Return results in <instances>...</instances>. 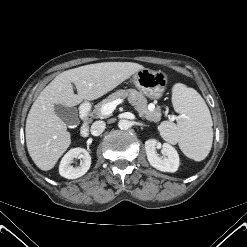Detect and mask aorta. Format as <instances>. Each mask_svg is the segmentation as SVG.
<instances>
[{"label":"aorta","instance_id":"1","mask_svg":"<svg viewBox=\"0 0 247 247\" xmlns=\"http://www.w3.org/2000/svg\"><path fill=\"white\" fill-rule=\"evenodd\" d=\"M118 127L121 129V130H127L131 127V124H130V121L128 120H125V119H122L118 122Z\"/></svg>","mask_w":247,"mask_h":247}]
</instances>
